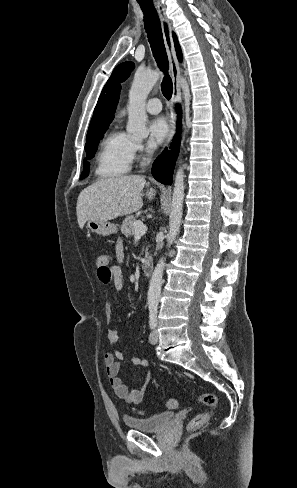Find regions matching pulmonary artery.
Here are the masks:
<instances>
[{
	"instance_id": "obj_1",
	"label": "pulmonary artery",
	"mask_w": 297,
	"mask_h": 488,
	"mask_svg": "<svg viewBox=\"0 0 297 488\" xmlns=\"http://www.w3.org/2000/svg\"><path fill=\"white\" fill-rule=\"evenodd\" d=\"M145 108L150 114H158L162 110V105L158 98H150Z\"/></svg>"
}]
</instances>
